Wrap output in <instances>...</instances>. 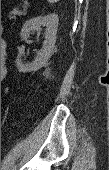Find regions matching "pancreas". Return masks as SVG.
Returning <instances> with one entry per match:
<instances>
[{
  "label": "pancreas",
  "instance_id": "1",
  "mask_svg": "<svg viewBox=\"0 0 109 170\" xmlns=\"http://www.w3.org/2000/svg\"><path fill=\"white\" fill-rule=\"evenodd\" d=\"M26 10H27L26 6H24L23 11L19 10L18 8H15L9 13V18L16 19L17 16L24 15Z\"/></svg>",
  "mask_w": 109,
  "mask_h": 170
}]
</instances>
